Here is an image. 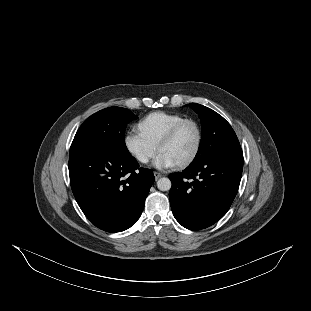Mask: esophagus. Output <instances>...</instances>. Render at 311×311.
Segmentation results:
<instances>
[{"label": "esophagus", "mask_w": 311, "mask_h": 311, "mask_svg": "<svg viewBox=\"0 0 311 311\" xmlns=\"http://www.w3.org/2000/svg\"><path fill=\"white\" fill-rule=\"evenodd\" d=\"M154 176H155V179L158 180L159 178L162 177V174L157 171H154Z\"/></svg>", "instance_id": "34e87169"}]
</instances>
